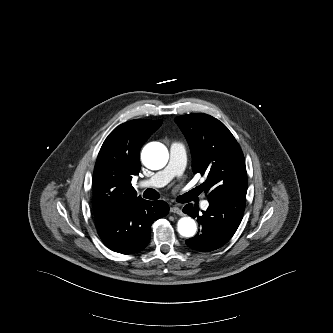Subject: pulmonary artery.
<instances>
[{"instance_id": "e3ab8cb5", "label": "pulmonary artery", "mask_w": 333, "mask_h": 333, "mask_svg": "<svg viewBox=\"0 0 333 333\" xmlns=\"http://www.w3.org/2000/svg\"><path fill=\"white\" fill-rule=\"evenodd\" d=\"M186 163V151L181 143L174 142L170 148V158L168 165L160 172L156 173L150 179L141 182V187H162L170 182L175 176H178L184 170ZM204 208L208 203L203 204Z\"/></svg>"}]
</instances>
